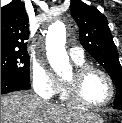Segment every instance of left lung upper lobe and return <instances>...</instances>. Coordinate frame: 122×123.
Returning a JSON list of instances; mask_svg holds the SVG:
<instances>
[{
	"mask_svg": "<svg viewBox=\"0 0 122 123\" xmlns=\"http://www.w3.org/2000/svg\"><path fill=\"white\" fill-rule=\"evenodd\" d=\"M70 11L79 26L82 46L104 67L115 84L114 105L122 104V67L107 18L81 0H71Z\"/></svg>",
	"mask_w": 122,
	"mask_h": 123,
	"instance_id": "left-lung-upper-lobe-1",
	"label": "left lung upper lobe"
}]
</instances>
